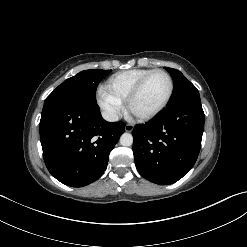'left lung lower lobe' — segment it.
I'll return each instance as SVG.
<instances>
[{"label": "left lung lower lobe", "mask_w": 247, "mask_h": 247, "mask_svg": "<svg viewBox=\"0 0 247 247\" xmlns=\"http://www.w3.org/2000/svg\"><path fill=\"white\" fill-rule=\"evenodd\" d=\"M200 99L168 106L154 120L132 132L138 172L147 180L168 185L181 179L195 164L204 128Z\"/></svg>", "instance_id": "1"}]
</instances>
